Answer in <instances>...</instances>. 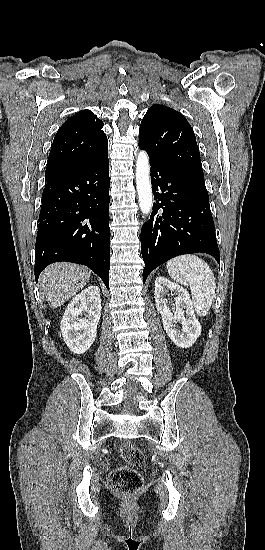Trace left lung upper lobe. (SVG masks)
<instances>
[{
    "mask_svg": "<svg viewBox=\"0 0 265 550\" xmlns=\"http://www.w3.org/2000/svg\"><path fill=\"white\" fill-rule=\"evenodd\" d=\"M139 147L149 157L205 187L196 137L178 111L159 104L151 106L141 121Z\"/></svg>",
    "mask_w": 265,
    "mask_h": 550,
    "instance_id": "left-lung-upper-lobe-1",
    "label": "left lung upper lobe"
}]
</instances>
